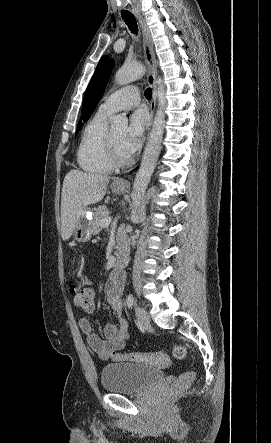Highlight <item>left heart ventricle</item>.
Masks as SVG:
<instances>
[{
  "label": "left heart ventricle",
  "instance_id": "left-heart-ventricle-1",
  "mask_svg": "<svg viewBox=\"0 0 271 443\" xmlns=\"http://www.w3.org/2000/svg\"><path fill=\"white\" fill-rule=\"evenodd\" d=\"M125 127H121V128H117L114 131H112L116 145L118 147V149L120 150V152L124 155V156H128L126 153H124V151L122 150V141H123V137L125 134Z\"/></svg>",
  "mask_w": 271,
  "mask_h": 443
}]
</instances>
